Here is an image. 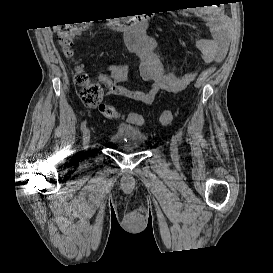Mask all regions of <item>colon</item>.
<instances>
[{
    "instance_id": "colon-1",
    "label": "colon",
    "mask_w": 273,
    "mask_h": 273,
    "mask_svg": "<svg viewBox=\"0 0 273 273\" xmlns=\"http://www.w3.org/2000/svg\"><path fill=\"white\" fill-rule=\"evenodd\" d=\"M88 24L87 20L76 21L67 25L63 30L58 33V43L67 58L73 57V42L75 38L86 28ZM212 69H206L203 71L197 81L196 86L202 85L211 75ZM74 81L80 88V99L84 105L88 107H98L100 112L105 118L117 119L120 118L118 110L109 104L101 103L103 90L98 83L93 82L87 73H85L80 67L76 69L74 74ZM172 113L169 110L161 112L159 121L163 125H167L172 121ZM127 119L134 123L141 125L144 123V117L141 114L130 113Z\"/></svg>"
}]
</instances>
